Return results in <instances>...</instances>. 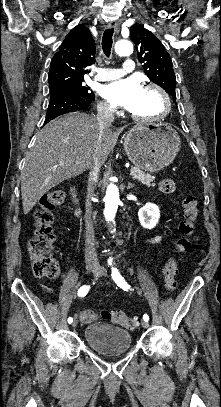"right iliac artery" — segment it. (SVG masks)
I'll return each mask as SVG.
<instances>
[{
    "mask_svg": "<svg viewBox=\"0 0 221 407\" xmlns=\"http://www.w3.org/2000/svg\"><path fill=\"white\" fill-rule=\"evenodd\" d=\"M89 289H90V286H89V285L82 286V287L78 290V296H81V297L86 296V294L88 293ZM72 322H73V318L69 317V318H68V323L70 324V323H72Z\"/></svg>",
    "mask_w": 221,
    "mask_h": 407,
    "instance_id": "1",
    "label": "right iliac artery"
}]
</instances>
